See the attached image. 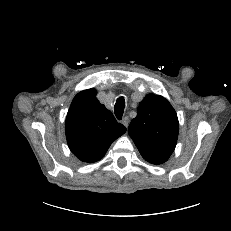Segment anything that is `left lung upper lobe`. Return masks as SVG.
I'll return each mask as SVG.
<instances>
[{
	"label": "left lung upper lobe",
	"mask_w": 231,
	"mask_h": 231,
	"mask_svg": "<svg viewBox=\"0 0 231 231\" xmlns=\"http://www.w3.org/2000/svg\"><path fill=\"white\" fill-rule=\"evenodd\" d=\"M179 123L171 104L162 96L148 94L138 107V115L128 133L142 157L152 164L166 162L178 138Z\"/></svg>",
	"instance_id": "obj_1"
}]
</instances>
